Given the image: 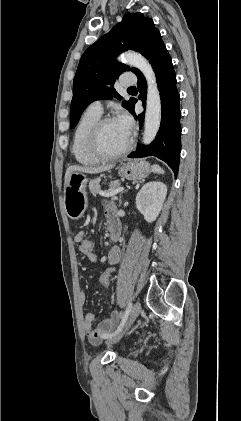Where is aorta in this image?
Instances as JSON below:
<instances>
[{
    "instance_id": "1",
    "label": "aorta",
    "mask_w": 241,
    "mask_h": 421,
    "mask_svg": "<svg viewBox=\"0 0 241 421\" xmlns=\"http://www.w3.org/2000/svg\"><path fill=\"white\" fill-rule=\"evenodd\" d=\"M119 60L139 69L147 81L145 124L142 138L143 144L147 145L154 140L161 122V100L155 73L148 61L137 52H125L119 57Z\"/></svg>"
}]
</instances>
